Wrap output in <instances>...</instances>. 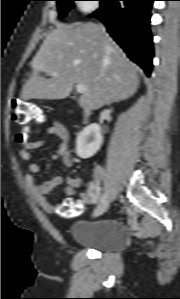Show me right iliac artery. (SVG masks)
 Returning a JSON list of instances; mask_svg holds the SVG:
<instances>
[{"label":"right iliac artery","instance_id":"82829eb1","mask_svg":"<svg viewBox=\"0 0 180 299\" xmlns=\"http://www.w3.org/2000/svg\"><path fill=\"white\" fill-rule=\"evenodd\" d=\"M106 200V194L104 193L100 198V203L104 202Z\"/></svg>","mask_w":180,"mask_h":299}]
</instances>
